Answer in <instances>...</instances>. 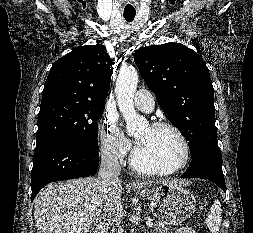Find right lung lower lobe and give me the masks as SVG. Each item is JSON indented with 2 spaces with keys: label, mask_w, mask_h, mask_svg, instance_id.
Segmentation results:
<instances>
[{
  "label": "right lung lower lobe",
  "mask_w": 253,
  "mask_h": 233,
  "mask_svg": "<svg viewBox=\"0 0 253 233\" xmlns=\"http://www.w3.org/2000/svg\"><path fill=\"white\" fill-rule=\"evenodd\" d=\"M99 165V150L69 141L48 139L36 144L32 169L31 201L46 184L93 176Z\"/></svg>",
  "instance_id": "obj_1"
}]
</instances>
